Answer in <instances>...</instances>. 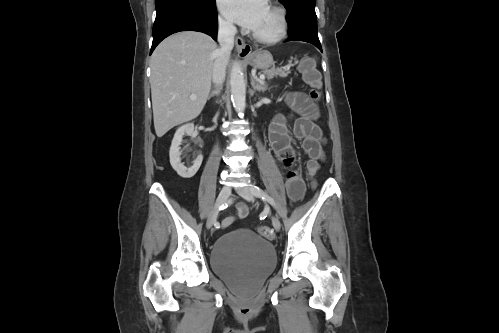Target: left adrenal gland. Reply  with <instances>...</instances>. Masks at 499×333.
I'll use <instances>...</instances> for the list:
<instances>
[{
  "instance_id": "a2214340",
  "label": "left adrenal gland",
  "mask_w": 499,
  "mask_h": 333,
  "mask_svg": "<svg viewBox=\"0 0 499 333\" xmlns=\"http://www.w3.org/2000/svg\"><path fill=\"white\" fill-rule=\"evenodd\" d=\"M251 85L253 87L254 91H266L267 90V85L261 84L260 80H258L255 77H251Z\"/></svg>"
}]
</instances>
